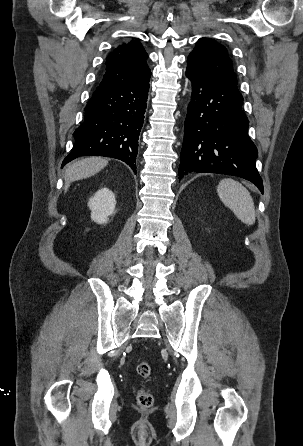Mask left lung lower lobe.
<instances>
[{
    "instance_id": "1",
    "label": "left lung lower lobe",
    "mask_w": 303,
    "mask_h": 446,
    "mask_svg": "<svg viewBox=\"0 0 303 446\" xmlns=\"http://www.w3.org/2000/svg\"><path fill=\"white\" fill-rule=\"evenodd\" d=\"M186 76L193 83L188 106L179 178L189 172L242 177L263 193L256 169L257 148L247 135L248 119L238 87L188 58Z\"/></svg>"
}]
</instances>
